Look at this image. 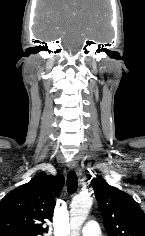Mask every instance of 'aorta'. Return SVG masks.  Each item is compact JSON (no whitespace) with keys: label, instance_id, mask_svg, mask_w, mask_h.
Here are the masks:
<instances>
[{"label":"aorta","instance_id":"1","mask_svg":"<svg viewBox=\"0 0 145 236\" xmlns=\"http://www.w3.org/2000/svg\"><path fill=\"white\" fill-rule=\"evenodd\" d=\"M92 203L93 199L90 196H79L73 200L70 210V236H80L81 226L88 216Z\"/></svg>","mask_w":145,"mask_h":236}]
</instances>
